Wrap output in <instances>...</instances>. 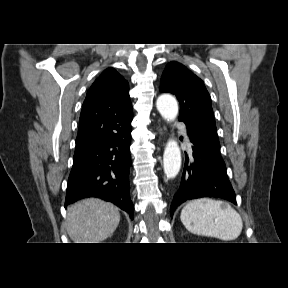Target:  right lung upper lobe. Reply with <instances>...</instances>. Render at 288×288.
Segmentation results:
<instances>
[{
    "label": "right lung upper lobe",
    "instance_id": "right-lung-upper-lobe-1",
    "mask_svg": "<svg viewBox=\"0 0 288 288\" xmlns=\"http://www.w3.org/2000/svg\"><path fill=\"white\" fill-rule=\"evenodd\" d=\"M133 118L128 82L107 68L92 84L83 103L75 155H80L131 126Z\"/></svg>",
    "mask_w": 288,
    "mask_h": 288
}]
</instances>
